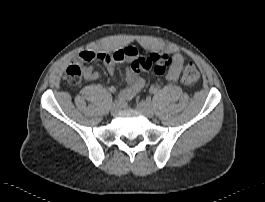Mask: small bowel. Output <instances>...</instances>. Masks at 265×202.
I'll return each mask as SVG.
<instances>
[{
  "label": "small bowel",
  "instance_id": "small-bowel-1",
  "mask_svg": "<svg viewBox=\"0 0 265 202\" xmlns=\"http://www.w3.org/2000/svg\"><path fill=\"white\" fill-rule=\"evenodd\" d=\"M126 50L134 51L135 54L137 50L133 47L127 48ZM172 64L169 68V71L166 75V79L172 82H175L179 79L184 62L187 61V58L182 54L175 53L172 54ZM131 57H126L122 60H111L110 55L103 52H94L83 50L79 52L75 57V62L84 64V78L87 80H96L99 77L98 72L96 71L93 65H89V63L93 61H101L103 62L108 69V73L110 76H114L118 73V65L126 62L129 63L131 61ZM125 79L127 83V87L120 92V96L123 100L132 99L145 85V81L138 74H136L133 69L127 68L125 71ZM109 92L114 93L116 88L114 86H110L108 88Z\"/></svg>",
  "mask_w": 265,
  "mask_h": 202
}]
</instances>
